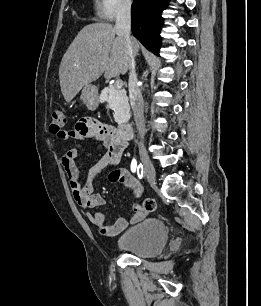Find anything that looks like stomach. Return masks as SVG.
Segmentation results:
<instances>
[{"label":"stomach","mask_w":261,"mask_h":306,"mask_svg":"<svg viewBox=\"0 0 261 306\" xmlns=\"http://www.w3.org/2000/svg\"><path fill=\"white\" fill-rule=\"evenodd\" d=\"M80 99L90 110H95L99 105L98 88L88 84L82 88Z\"/></svg>","instance_id":"1"}]
</instances>
